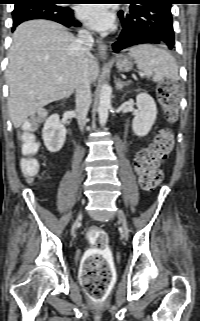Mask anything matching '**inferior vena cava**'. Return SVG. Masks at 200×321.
Returning a JSON list of instances; mask_svg holds the SVG:
<instances>
[{
	"label": "inferior vena cava",
	"instance_id": "obj_1",
	"mask_svg": "<svg viewBox=\"0 0 200 321\" xmlns=\"http://www.w3.org/2000/svg\"><path fill=\"white\" fill-rule=\"evenodd\" d=\"M94 39L86 30L78 32V38L75 40V50L77 54V77H76V118L81 131L84 130L87 113L91 104L90 80L88 76V57L92 49Z\"/></svg>",
	"mask_w": 200,
	"mask_h": 321
}]
</instances>
